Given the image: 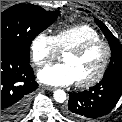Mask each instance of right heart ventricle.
<instances>
[{"label": "right heart ventricle", "mask_w": 122, "mask_h": 122, "mask_svg": "<svg viewBox=\"0 0 122 122\" xmlns=\"http://www.w3.org/2000/svg\"><path fill=\"white\" fill-rule=\"evenodd\" d=\"M59 51L65 52L87 41L101 39L99 33L90 25L78 24L57 31L54 35Z\"/></svg>", "instance_id": "1"}]
</instances>
